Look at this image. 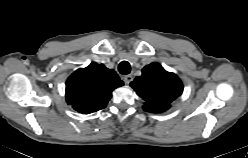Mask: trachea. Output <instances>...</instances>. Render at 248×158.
Listing matches in <instances>:
<instances>
[{
  "instance_id": "1",
  "label": "trachea",
  "mask_w": 248,
  "mask_h": 158,
  "mask_svg": "<svg viewBox=\"0 0 248 158\" xmlns=\"http://www.w3.org/2000/svg\"><path fill=\"white\" fill-rule=\"evenodd\" d=\"M119 71L121 74H129L131 71L130 64L127 61H122L119 64Z\"/></svg>"
}]
</instances>
